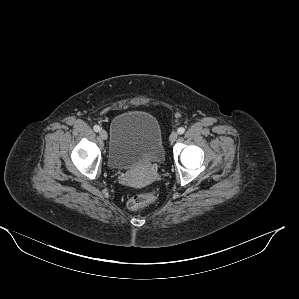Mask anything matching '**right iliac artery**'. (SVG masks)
I'll list each match as a JSON object with an SVG mask.
<instances>
[{
    "label": "right iliac artery",
    "instance_id": "1",
    "mask_svg": "<svg viewBox=\"0 0 299 299\" xmlns=\"http://www.w3.org/2000/svg\"><path fill=\"white\" fill-rule=\"evenodd\" d=\"M93 129H94V131L99 132L101 128L98 125H95L93 127Z\"/></svg>",
    "mask_w": 299,
    "mask_h": 299
}]
</instances>
